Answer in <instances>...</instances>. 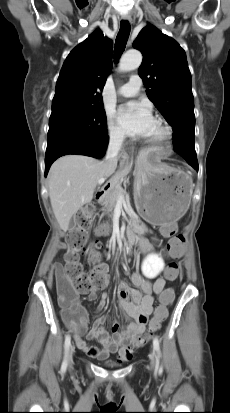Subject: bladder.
<instances>
[{
	"instance_id": "bladder-1",
	"label": "bladder",
	"mask_w": 230,
	"mask_h": 413,
	"mask_svg": "<svg viewBox=\"0 0 230 413\" xmlns=\"http://www.w3.org/2000/svg\"><path fill=\"white\" fill-rule=\"evenodd\" d=\"M103 364H104L105 366H108V367H115V366H117L114 362H112V361H110V360L104 361Z\"/></svg>"
}]
</instances>
